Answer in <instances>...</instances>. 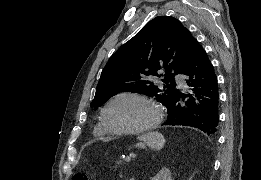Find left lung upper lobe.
Here are the masks:
<instances>
[{
    "label": "left lung upper lobe",
    "instance_id": "5c2ea615",
    "mask_svg": "<svg viewBox=\"0 0 261 180\" xmlns=\"http://www.w3.org/2000/svg\"><path fill=\"white\" fill-rule=\"evenodd\" d=\"M197 44L176 18H154L109 59L90 106L97 108L113 94L127 91L155 96L167 107L176 94L174 75L182 73ZM162 69L164 91L151 81Z\"/></svg>",
    "mask_w": 261,
    "mask_h": 180
}]
</instances>
